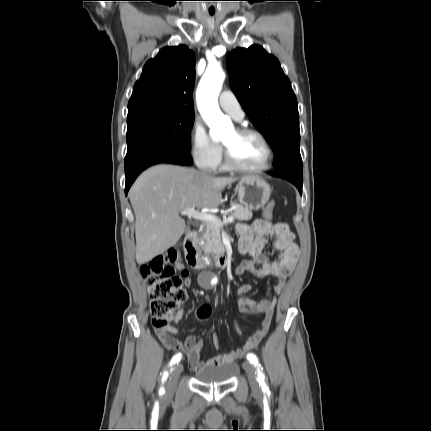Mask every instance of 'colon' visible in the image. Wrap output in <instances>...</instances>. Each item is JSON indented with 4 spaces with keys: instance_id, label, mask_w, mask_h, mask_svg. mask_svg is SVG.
<instances>
[{
    "instance_id": "1",
    "label": "colon",
    "mask_w": 431,
    "mask_h": 431,
    "mask_svg": "<svg viewBox=\"0 0 431 431\" xmlns=\"http://www.w3.org/2000/svg\"><path fill=\"white\" fill-rule=\"evenodd\" d=\"M274 202L270 201L264 208V216L271 218ZM180 256L175 250L156 256L150 262L140 267V273L148 286L150 297V313L152 323L156 329L168 325L174 311L187 298L183 287V279L176 273L175 264L179 263ZM212 316L210 301H201L196 313L189 316L188 324L194 327L196 324L209 322ZM234 333L237 337L243 336L239 321H234Z\"/></svg>"
}]
</instances>
